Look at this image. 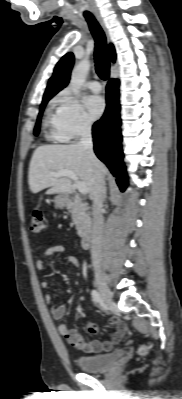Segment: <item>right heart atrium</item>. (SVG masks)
I'll return each instance as SVG.
<instances>
[{
	"label": "right heart atrium",
	"instance_id": "d8ad5b80",
	"mask_svg": "<svg viewBox=\"0 0 182 399\" xmlns=\"http://www.w3.org/2000/svg\"><path fill=\"white\" fill-rule=\"evenodd\" d=\"M56 102L57 123L63 140L78 138L91 129L92 122L77 98L64 92Z\"/></svg>",
	"mask_w": 182,
	"mask_h": 399
}]
</instances>
